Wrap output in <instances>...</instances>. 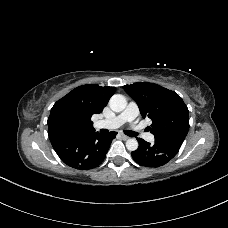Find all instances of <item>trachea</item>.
Returning a JSON list of instances; mask_svg holds the SVG:
<instances>
[{
	"label": "trachea",
	"instance_id": "trachea-1",
	"mask_svg": "<svg viewBox=\"0 0 228 228\" xmlns=\"http://www.w3.org/2000/svg\"><path fill=\"white\" fill-rule=\"evenodd\" d=\"M124 133L130 137H135L137 136V133L134 131H130V130H125Z\"/></svg>",
	"mask_w": 228,
	"mask_h": 228
}]
</instances>
